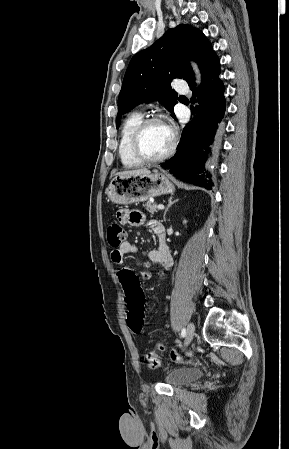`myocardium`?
Here are the masks:
<instances>
[{
  "label": "myocardium",
  "instance_id": "obj_1",
  "mask_svg": "<svg viewBox=\"0 0 289 449\" xmlns=\"http://www.w3.org/2000/svg\"><path fill=\"white\" fill-rule=\"evenodd\" d=\"M153 123H162L164 124L171 133V143L168 150L158 156V157H148L146 156L141 148V138L146 130V128ZM132 151L134 156L141 162L144 163H157L168 159L174 152L177 147V132L175 128L171 125L168 119L160 114L151 115L147 118H144L139 125L136 127L131 141Z\"/></svg>",
  "mask_w": 289,
  "mask_h": 449
}]
</instances>
